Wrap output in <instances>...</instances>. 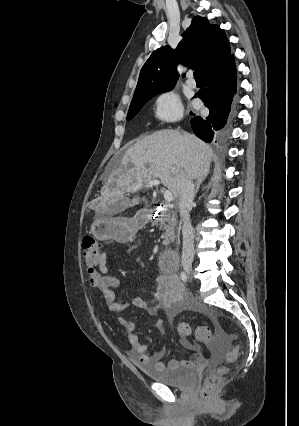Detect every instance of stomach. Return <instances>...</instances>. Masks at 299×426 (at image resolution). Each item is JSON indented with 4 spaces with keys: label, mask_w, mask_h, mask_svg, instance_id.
<instances>
[{
    "label": "stomach",
    "mask_w": 299,
    "mask_h": 426,
    "mask_svg": "<svg viewBox=\"0 0 299 426\" xmlns=\"http://www.w3.org/2000/svg\"><path fill=\"white\" fill-rule=\"evenodd\" d=\"M136 232L132 220L120 217L97 216L90 226V233L100 241H129Z\"/></svg>",
    "instance_id": "stomach-1"
}]
</instances>
